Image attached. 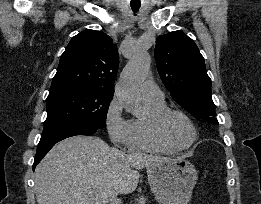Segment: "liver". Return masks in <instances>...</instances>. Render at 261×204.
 Returning <instances> with one entry per match:
<instances>
[{"label": "liver", "mask_w": 261, "mask_h": 204, "mask_svg": "<svg viewBox=\"0 0 261 204\" xmlns=\"http://www.w3.org/2000/svg\"><path fill=\"white\" fill-rule=\"evenodd\" d=\"M167 157L125 153L93 136H73L55 145L35 169L38 204H108L133 192L139 170Z\"/></svg>", "instance_id": "liver-1"}]
</instances>
